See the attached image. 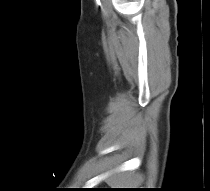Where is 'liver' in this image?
Segmentation results:
<instances>
[{
	"instance_id": "6515ba94",
	"label": "liver",
	"mask_w": 210,
	"mask_h": 191,
	"mask_svg": "<svg viewBox=\"0 0 210 191\" xmlns=\"http://www.w3.org/2000/svg\"><path fill=\"white\" fill-rule=\"evenodd\" d=\"M132 176L127 172H113L106 180L111 186L127 185L131 182Z\"/></svg>"
}]
</instances>
